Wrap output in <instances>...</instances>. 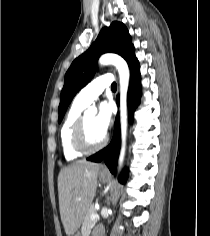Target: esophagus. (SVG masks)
<instances>
[{
    "label": "esophagus",
    "instance_id": "obj_1",
    "mask_svg": "<svg viewBox=\"0 0 210 236\" xmlns=\"http://www.w3.org/2000/svg\"><path fill=\"white\" fill-rule=\"evenodd\" d=\"M101 169L104 170V171L107 170V168H106V166L104 164H102Z\"/></svg>",
    "mask_w": 210,
    "mask_h": 236
}]
</instances>
